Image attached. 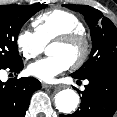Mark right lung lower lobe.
<instances>
[{"label":"right lung lower lobe","mask_w":117,"mask_h":117,"mask_svg":"<svg viewBox=\"0 0 117 117\" xmlns=\"http://www.w3.org/2000/svg\"><path fill=\"white\" fill-rule=\"evenodd\" d=\"M6 68L10 72L19 73L23 68V62L0 69ZM40 88V81L32 77L9 79L5 83L0 80V117H24L31 95Z\"/></svg>","instance_id":"obj_1"}]
</instances>
